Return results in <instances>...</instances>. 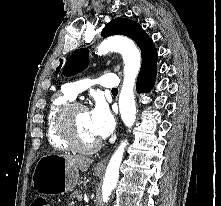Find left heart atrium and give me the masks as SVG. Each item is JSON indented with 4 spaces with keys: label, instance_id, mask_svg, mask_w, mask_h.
Listing matches in <instances>:
<instances>
[{
    "label": "left heart atrium",
    "instance_id": "39dd6f15",
    "mask_svg": "<svg viewBox=\"0 0 221 206\" xmlns=\"http://www.w3.org/2000/svg\"><path fill=\"white\" fill-rule=\"evenodd\" d=\"M89 124L96 138L109 136L115 127V120L109 109L102 103L96 104L89 112Z\"/></svg>",
    "mask_w": 221,
    "mask_h": 206
}]
</instances>
